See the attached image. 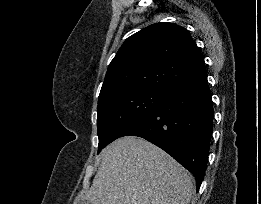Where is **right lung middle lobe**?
I'll use <instances>...</instances> for the list:
<instances>
[{
	"mask_svg": "<svg viewBox=\"0 0 261 204\" xmlns=\"http://www.w3.org/2000/svg\"><path fill=\"white\" fill-rule=\"evenodd\" d=\"M164 95L163 91L132 89L117 91L98 100V153L151 111Z\"/></svg>",
	"mask_w": 261,
	"mask_h": 204,
	"instance_id": "dd1d6c3e",
	"label": "right lung middle lobe"
}]
</instances>
